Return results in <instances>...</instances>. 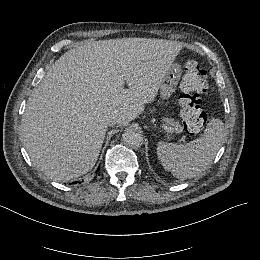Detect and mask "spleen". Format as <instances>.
I'll use <instances>...</instances> for the list:
<instances>
[{"mask_svg": "<svg viewBox=\"0 0 260 260\" xmlns=\"http://www.w3.org/2000/svg\"><path fill=\"white\" fill-rule=\"evenodd\" d=\"M225 135L224 123L211 119L204 134L187 144L159 142L157 156L166 171L179 179L193 178L214 160Z\"/></svg>", "mask_w": 260, "mask_h": 260, "instance_id": "3e777b00", "label": "spleen"}]
</instances>
